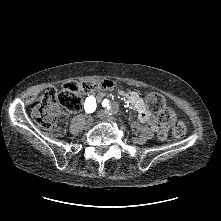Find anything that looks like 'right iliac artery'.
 <instances>
[{
    "instance_id": "obj_1",
    "label": "right iliac artery",
    "mask_w": 221,
    "mask_h": 221,
    "mask_svg": "<svg viewBox=\"0 0 221 221\" xmlns=\"http://www.w3.org/2000/svg\"><path fill=\"white\" fill-rule=\"evenodd\" d=\"M96 99L93 96L87 97L84 103L86 113H93L96 110Z\"/></svg>"
}]
</instances>
